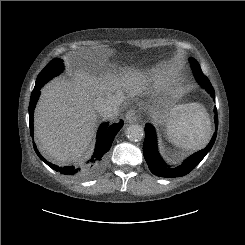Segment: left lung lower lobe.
<instances>
[{
    "instance_id": "0a47b994",
    "label": "left lung lower lobe",
    "mask_w": 245,
    "mask_h": 245,
    "mask_svg": "<svg viewBox=\"0 0 245 245\" xmlns=\"http://www.w3.org/2000/svg\"><path fill=\"white\" fill-rule=\"evenodd\" d=\"M202 87H204L215 100V92H214V89L211 83L210 84L204 83ZM214 112H215V116H214L215 126H216V129H218V115H217L216 106L214 108ZM216 136H217V132L215 131L211 141L206 146V148L190 156L181 165L175 168H170L165 164V162L162 160V158L160 157L158 153L157 140H156V134H155L154 127L151 124H146L145 125V140L143 144L144 157L146 159L149 169L156 176L166 177V178L181 177V176L188 174L190 171H192L202 161V159L206 156V154L212 148L215 142Z\"/></svg>"
}]
</instances>
